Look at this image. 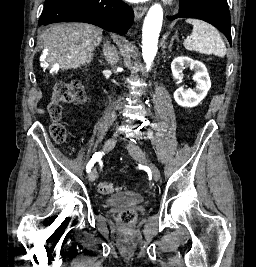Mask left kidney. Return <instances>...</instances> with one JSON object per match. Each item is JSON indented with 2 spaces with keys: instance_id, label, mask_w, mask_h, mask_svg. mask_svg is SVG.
<instances>
[{
  "instance_id": "left-kidney-1",
  "label": "left kidney",
  "mask_w": 256,
  "mask_h": 267,
  "mask_svg": "<svg viewBox=\"0 0 256 267\" xmlns=\"http://www.w3.org/2000/svg\"><path fill=\"white\" fill-rule=\"evenodd\" d=\"M184 68H190L195 72L193 76L194 82H196V88L194 90H184V86L175 90L173 96L175 102L183 108H194L198 106L201 100H204L211 88V82L206 66L198 60H192L188 56H178L174 58L171 64L172 76L174 80H177L178 84L183 82V70Z\"/></svg>"
}]
</instances>
